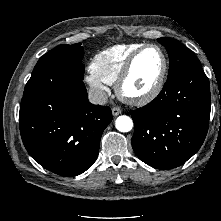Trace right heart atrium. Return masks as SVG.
<instances>
[{"mask_svg": "<svg viewBox=\"0 0 221 221\" xmlns=\"http://www.w3.org/2000/svg\"><path fill=\"white\" fill-rule=\"evenodd\" d=\"M85 81L99 99H104L108 94L109 88L107 87L106 83L101 81L92 73H89L85 77Z\"/></svg>", "mask_w": 221, "mask_h": 221, "instance_id": "right-heart-atrium-1", "label": "right heart atrium"}]
</instances>
